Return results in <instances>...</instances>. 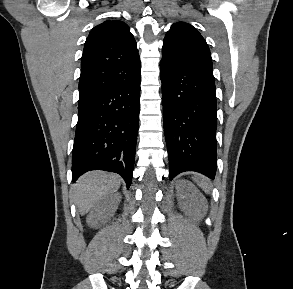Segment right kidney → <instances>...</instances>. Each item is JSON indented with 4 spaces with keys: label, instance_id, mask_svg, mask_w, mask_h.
Segmentation results:
<instances>
[{
    "label": "right kidney",
    "instance_id": "1",
    "mask_svg": "<svg viewBox=\"0 0 293 289\" xmlns=\"http://www.w3.org/2000/svg\"><path fill=\"white\" fill-rule=\"evenodd\" d=\"M102 213V207L100 204L96 205L87 217V222L91 227H97Z\"/></svg>",
    "mask_w": 293,
    "mask_h": 289
}]
</instances>
